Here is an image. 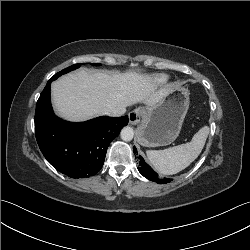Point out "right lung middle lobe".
Returning a JSON list of instances; mask_svg holds the SVG:
<instances>
[{
  "label": "right lung middle lobe",
  "instance_id": "dd1d6c3e",
  "mask_svg": "<svg viewBox=\"0 0 250 250\" xmlns=\"http://www.w3.org/2000/svg\"><path fill=\"white\" fill-rule=\"evenodd\" d=\"M81 64H74L68 68H65L63 69L61 72H58L56 73L54 76H53V79L55 80L57 77L61 76L62 74H65V73H68L69 71L71 70H75L76 68H79ZM92 65H100V64H97V63H93Z\"/></svg>",
  "mask_w": 250,
  "mask_h": 250
}]
</instances>
